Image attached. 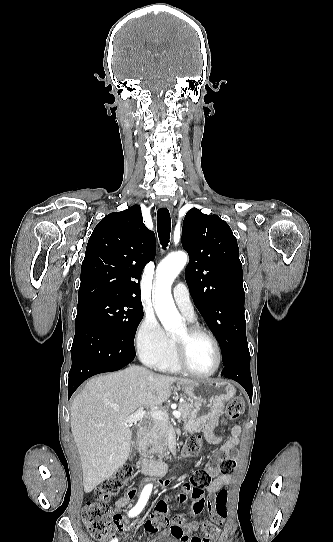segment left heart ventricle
Here are the masks:
<instances>
[{
  "label": "left heart ventricle",
  "mask_w": 333,
  "mask_h": 542,
  "mask_svg": "<svg viewBox=\"0 0 333 542\" xmlns=\"http://www.w3.org/2000/svg\"><path fill=\"white\" fill-rule=\"evenodd\" d=\"M173 338L185 345L186 360L191 370L207 373L216 364V351L213 343L205 336H189L187 328Z\"/></svg>",
  "instance_id": "b2bd125f"
}]
</instances>
